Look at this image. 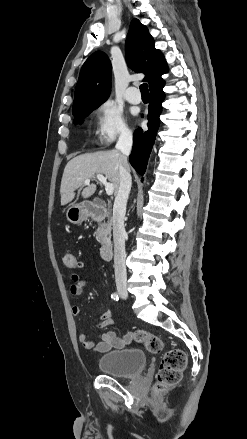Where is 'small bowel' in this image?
<instances>
[{
	"label": "small bowel",
	"mask_w": 247,
	"mask_h": 439,
	"mask_svg": "<svg viewBox=\"0 0 247 439\" xmlns=\"http://www.w3.org/2000/svg\"><path fill=\"white\" fill-rule=\"evenodd\" d=\"M72 284L70 286V292L74 296L81 295L86 282L77 273L71 274ZM72 313L74 316H78L80 309L78 306L72 307ZM113 325V320L111 318V311L106 310L99 318L97 326L99 328L110 327ZM133 338L132 333L126 334L124 337H119L113 331L104 332L101 335V340L97 341L96 338L89 337L86 333H81L79 335V341L85 349H92L97 353H106L115 348H122L126 344L130 343Z\"/></svg>",
	"instance_id": "small-bowel-1"
}]
</instances>
